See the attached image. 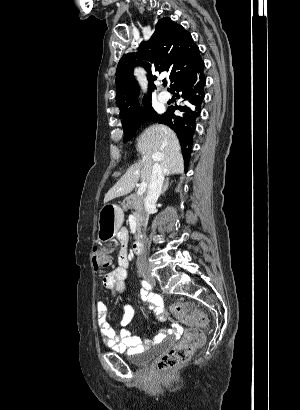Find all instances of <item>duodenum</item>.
Wrapping results in <instances>:
<instances>
[{
  "instance_id": "410a0bca",
  "label": "duodenum",
  "mask_w": 300,
  "mask_h": 410,
  "mask_svg": "<svg viewBox=\"0 0 300 410\" xmlns=\"http://www.w3.org/2000/svg\"><path fill=\"white\" fill-rule=\"evenodd\" d=\"M143 248L141 240H135L132 244V249L134 253H140Z\"/></svg>"
}]
</instances>
